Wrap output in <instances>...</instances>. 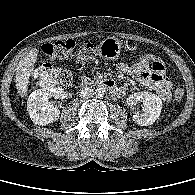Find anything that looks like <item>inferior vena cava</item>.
<instances>
[{
  "label": "inferior vena cava",
  "mask_w": 195,
  "mask_h": 195,
  "mask_svg": "<svg viewBox=\"0 0 195 195\" xmlns=\"http://www.w3.org/2000/svg\"><path fill=\"white\" fill-rule=\"evenodd\" d=\"M94 95V91L91 87H84L80 91V96L84 99H87Z\"/></svg>",
  "instance_id": "1"
}]
</instances>
